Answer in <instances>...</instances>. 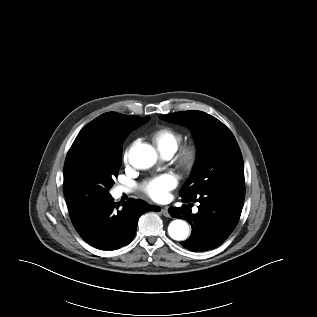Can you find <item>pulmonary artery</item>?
I'll return each instance as SVG.
<instances>
[{"mask_svg": "<svg viewBox=\"0 0 317 317\" xmlns=\"http://www.w3.org/2000/svg\"><path fill=\"white\" fill-rule=\"evenodd\" d=\"M165 157L169 158L171 157V155H165ZM116 192L118 195H122L124 193H129L130 190L126 187H123V186H119L117 189H116Z\"/></svg>", "mask_w": 317, "mask_h": 317, "instance_id": "pulmonary-artery-1", "label": "pulmonary artery"}]
</instances>
